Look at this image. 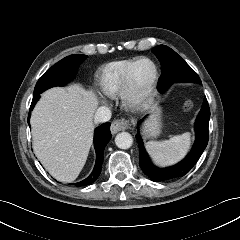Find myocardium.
<instances>
[{
  "mask_svg": "<svg viewBox=\"0 0 240 240\" xmlns=\"http://www.w3.org/2000/svg\"><path fill=\"white\" fill-rule=\"evenodd\" d=\"M149 62L153 67V75L150 83L145 88H139L134 84L133 76L136 68L141 62ZM159 80V70L157 64L148 57H140L127 70L122 90L124 105L131 110H138L147 105L155 94Z\"/></svg>",
  "mask_w": 240,
  "mask_h": 240,
  "instance_id": "myocardium-1",
  "label": "myocardium"
}]
</instances>
